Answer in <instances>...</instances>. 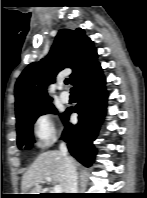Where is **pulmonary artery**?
Masks as SVG:
<instances>
[{"label": "pulmonary artery", "mask_w": 147, "mask_h": 198, "mask_svg": "<svg viewBox=\"0 0 147 198\" xmlns=\"http://www.w3.org/2000/svg\"><path fill=\"white\" fill-rule=\"evenodd\" d=\"M60 100L62 103H68L70 101V95L66 91L60 93Z\"/></svg>", "instance_id": "1"}]
</instances>
